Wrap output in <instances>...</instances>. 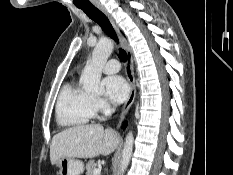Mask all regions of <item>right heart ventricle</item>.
<instances>
[{
    "label": "right heart ventricle",
    "instance_id": "right-heart-ventricle-1",
    "mask_svg": "<svg viewBox=\"0 0 233 175\" xmlns=\"http://www.w3.org/2000/svg\"><path fill=\"white\" fill-rule=\"evenodd\" d=\"M96 113L93 97L75 82L66 83L57 98L55 115L58 124L65 128L86 125Z\"/></svg>",
    "mask_w": 233,
    "mask_h": 175
}]
</instances>
